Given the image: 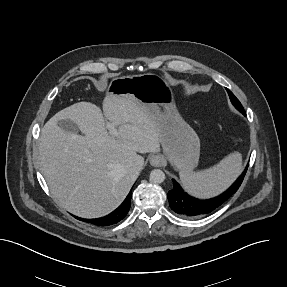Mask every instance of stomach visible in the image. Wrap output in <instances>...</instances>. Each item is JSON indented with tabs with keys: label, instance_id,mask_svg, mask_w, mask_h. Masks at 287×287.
Here are the masks:
<instances>
[{
	"label": "stomach",
	"instance_id": "obj_1",
	"mask_svg": "<svg viewBox=\"0 0 287 287\" xmlns=\"http://www.w3.org/2000/svg\"><path fill=\"white\" fill-rule=\"evenodd\" d=\"M106 96L131 97L159 129L160 143L172 166L192 171L199 161L200 140L178 113L171 87L153 73L113 78Z\"/></svg>",
	"mask_w": 287,
	"mask_h": 287
}]
</instances>
